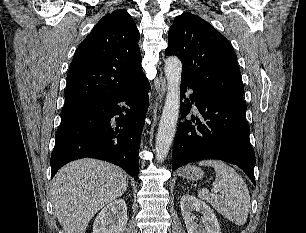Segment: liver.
I'll return each instance as SVG.
<instances>
[{
	"label": "liver",
	"instance_id": "liver-1",
	"mask_svg": "<svg viewBox=\"0 0 306 233\" xmlns=\"http://www.w3.org/2000/svg\"><path fill=\"white\" fill-rule=\"evenodd\" d=\"M128 187L121 168L85 158L64 166L52 183L54 212L65 233H85L89 221Z\"/></svg>",
	"mask_w": 306,
	"mask_h": 233
}]
</instances>
